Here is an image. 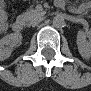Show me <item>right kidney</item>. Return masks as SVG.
Listing matches in <instances>:
<instances>
[{
  "label": "right kidney",
  "instance_id": "obj_1",
  "mask_svg": "<svg viewBox=\"0 0 91 91\" xmlns=\"http://www.w3.org/2000/svg\"><path fill=\"white\" fill-rule=\"evenodd\" d=\"M22 35L20 33H12L0 39V59L5 60L10 57L12 49L19 46Z\"/></svg>",
  "mask_w": 91,
  "mask_h": 91
}]
</instances>
